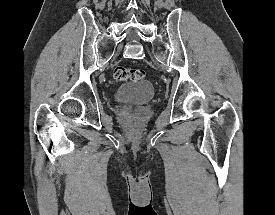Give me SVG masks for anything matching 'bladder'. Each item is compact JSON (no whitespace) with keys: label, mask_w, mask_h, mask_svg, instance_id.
<instances>
[{"label":"bladder","mask_w":275,"mask_h":215,"mask_svg":"<svg viewBox=\"0 0 275 215\" xmlns=\"http://www.w3.org/2000/svg\"><path fill=\"white\" fill-rule=\"evenodd\" d=\"M154 97V86L146 80L129 82L120 86L114 93V98L119 102L144 104Z\"/></svg>","instance_id":"31cf9c89"}]
</instances>
